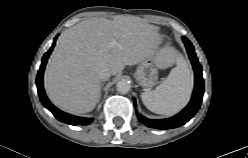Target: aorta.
<instances>
[{
    "mask_svg": "<svg viewBox=\"0 0 248 158\" xmlns=\"http://www.w3.org/2000/svg\"><path fill=\"white\" fill-rule=\"evenodd\" d=\"M117 91L121 94H126L130 91L131 85L127 80H121L116 84Z\"/></svg>",
    "mask_w": 248,
    "mask_h": 158,
    "instance_id": "obj_1",
    "label": "aorta"
}]
</instances>
